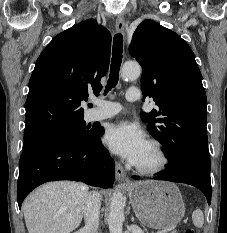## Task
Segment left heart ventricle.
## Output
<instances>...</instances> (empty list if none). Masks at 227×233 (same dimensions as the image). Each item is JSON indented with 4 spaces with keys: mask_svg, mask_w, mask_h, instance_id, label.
I'll list each match as a JSON object with an SVG mask.
<instances>
[{
    "mask_svg": "<svg viewBox=\"0 0 227 233\" xmlns=\"http://www.w3.org/2000/svg\"><path fill=\"white\" fill-rule=\"evenodd\" d=\"M158 162V156L156 151L148 144L140 158L136 162L137 165L150 167L154 166Z\"/></svg>",
    "mask_w": 227,
    "mask_h": 233,
    "instance_id": "obj_1",
    "label": "left heart ventricle"
}]
</instances>
